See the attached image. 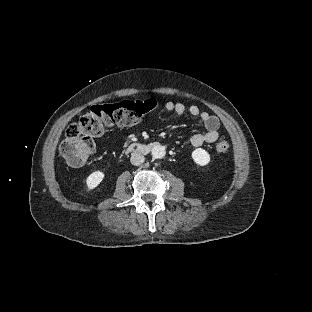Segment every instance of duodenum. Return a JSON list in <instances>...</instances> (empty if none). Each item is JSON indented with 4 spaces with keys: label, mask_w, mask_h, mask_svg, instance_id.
I'll list each match as a JSON object with an SVG mask.
<instances>
[{
    "label": "duodenum",
    "mask_w": 312,
    "mask_h": 312,
    "mask_svg": "<svg viewBox=\"0 0 312 312\" xmlns=\"http://www.w3.org/2000/svg\"><path fill=\"white\" fill-rule=\"evenodd\" d=\"M156 145H157V142L133 143V144H130L126 147V152L127 153L146 154Z\"/></svg>",
    "instance_id": "410a0bca"
}]
</instances>
